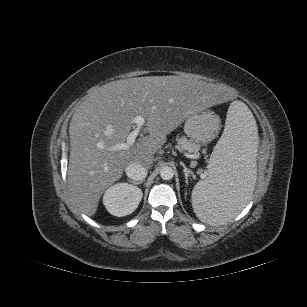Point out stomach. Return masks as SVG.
Listing matches in <instances>:
<instances>
[{
	"instance_id": "1",
	"label": "stomach",
	"mask_w": 307,
	"mask_h": 307,
	"mask_svg": "<svg viewBox=\"0 0 307 307\" xmlns=\"http://www.w3.org/2000/svg\"><path fill=\"white\" fill-rule=\"evenodd\" d=\"M220 129L219 117L211 111L191 113L184 123L185 134L195 143L208 144Z\"/></svg>"
}]
</instances>
